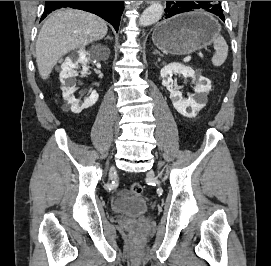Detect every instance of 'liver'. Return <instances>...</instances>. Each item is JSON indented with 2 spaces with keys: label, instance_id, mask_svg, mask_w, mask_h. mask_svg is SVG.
<instances>
[{
  "label": "liver",
  "instance_id": "obj_1",
  "mask_svg": "<svg viewBox=\"0 0 271 266\" xmlns=\"http://www.w3.org/2000/svg\"><path fill=\"white\" fill-rule=\"evenodd\" d=\"M107 31V23L88 12L62 9L52 13L44 22L36 42L40 76L47 79L63 55L104 38Z\"/></svg>",
  "mask_w": 271,
  "mask_h": 266
}]
</instances>
